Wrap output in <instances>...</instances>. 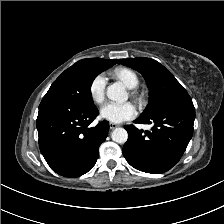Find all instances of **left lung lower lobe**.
Returning a JSON list of instances; mask_svg holds the SVG:
<instances>
[{"label":"left lung lower lobe","instance_id":"obj_1","mask_svg":"<svg viewBox=\"0 0 224 224\" xmlns=\"http://www.w3.org/2000/svg\"><path fill=\"white\" fill-rule=\"evenodd\" d=\"M195 109L186 103L163 110L152 117L134 122L151 124V132L126 125L128 140L123 146L127 162L137 170L160 174L171 169L181 158L193 135Z\"/></svg>","mask_w":224,"mask_h":224}]
</instances>
